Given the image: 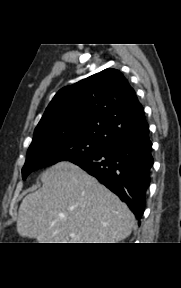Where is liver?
Returning <instances> with one entry per match:
<instances>
[{
    "label": "liver",
    "instance_id": "liver-1",
    "mask_svg": "<svg viewBox=\"0 0 181 288\" xmlns=\"http://www.w3.org/2000/svg\"><path fill=\"white\" fill-rule=\"evenodd\" d=\"M41 181L21 202L22 237L38 243H117L131 234L135 217L127 205L77 165L59 162Z\"/></svg>",
    "mask_w": 181,
    "mask_h": 288
}]
</instances>
